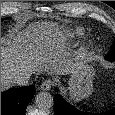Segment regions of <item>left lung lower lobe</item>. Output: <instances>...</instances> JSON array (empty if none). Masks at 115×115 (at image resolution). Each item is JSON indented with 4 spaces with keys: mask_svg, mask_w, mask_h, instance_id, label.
<instances>
[{
    "mask_svg": "<svg viewBox=\"0 0 115 115\" xmlns=\"http://www.w3.org/2000/svg\"><path fill=\"white\" fill-rule=\"evenodd\" d=\"M54 115H115V109L99 114L82 112L67 103L60 95H55Z\"/></svg>",
    "mask_w": 115,
    "mask_h": 115,
    "instance_id": "1",
    "label": "left lung lower lobe"
}]
</instances>
